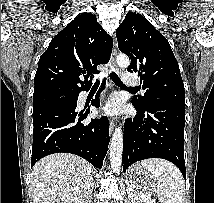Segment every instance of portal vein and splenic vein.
Returning a JSON list of instances; mask_svg holds the SVG:
<instances>
[{"instance_id": "18ae733b", "label": "portal vein and splenic vein", "mask_w": 214, "mask_h": 203, "mask_svg": "<svg viewBox=\"0 0 214 203\" xmlns=\"http://www.w3.org/2000/svg\"><path fill=\"white\" fill-rule=\"evenodd\" d=\"M133 189H132V187H129V191H132ZM150 195H144V194H142L141 195V197L144 199V200H151V197H149ZM152 201V200H151Z\"/></svg>"}]
</instances>
